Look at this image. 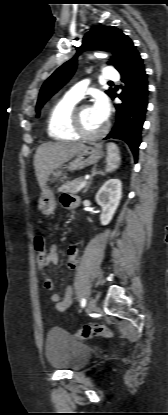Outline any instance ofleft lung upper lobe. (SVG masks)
Returning a JSON list of instances; mask_svg holds the SVG:
<instances>
[{"label":"left lung upper lobe","mask_w":168,"mask_h":415,"mask_svg":"<svg viewBox=\"0 0 168 415\" xmlns=\"http://www.w3.org/2000/svg\"><path fill=\"white\" fill-rule=\"evenodd\" d=\"M77 55L64 63L44 82L38 97L37 107L39 110L44 103L54 95L72 77L76 69L77 56L83 50H108L114 53L117 61L115 68L123 71L134 56L138 54L133 42L122 31L113 26H98L87 32L83 38L81 47L77 48ZM114 89L110 88L106 94L111 96Z\"/></svg>","instance_id":"5c2ea615"}]
</instances>
